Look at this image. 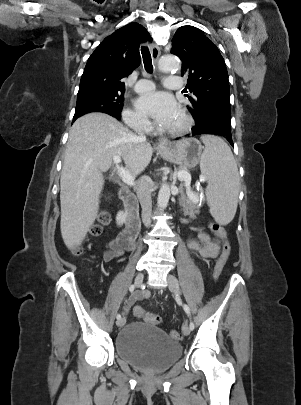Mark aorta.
Wrapping results in <instances>:
<instances>
[{"label": "aorta", "mask_w": 301, "mask_h": 405, "mask_svg": "<svg viewBox=\"0 0 301 405\" xmlns=\"http://www.w3.org/2000/svg\"><path fill=\"white\" fill-rule=\"evenodd\" d=\"M181 68L180 61L176 56H165L159 61V69L162 72L179 71ZM171 196L170 187L168 184H163L159 190L157 205L159 208L164 209L167 207L169 199Z\"/></svg>", "instance_id": "aorta-1"}]
</instances>
